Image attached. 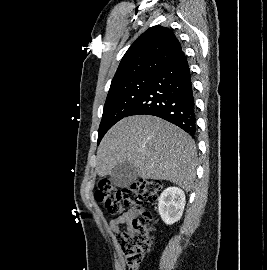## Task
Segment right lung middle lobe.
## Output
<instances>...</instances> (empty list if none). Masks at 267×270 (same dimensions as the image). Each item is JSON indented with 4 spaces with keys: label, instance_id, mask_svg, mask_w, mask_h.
Returning <instances> with one entry per match:
<instances>
[{
    "label": "right lung middle lobe",
    "instance_id": "dd1d6c3e",
    "mask_svg": "<svg viewBox=\"0 0 267 270\" xmlns=\"http://www.w3.org/2000/svg\"><path fill=\"white\" fill-rule=\"evenodd\" d=\"M154 75H142L110 88L98 130V144L105 133L126 117L150 86Z\"/></svg>",
    "mask_w": 267,
    "mask_h": 270
}]
</instances>
